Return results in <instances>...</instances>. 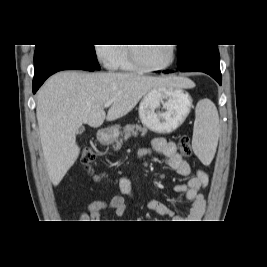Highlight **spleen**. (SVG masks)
I'll return each instance as SVG.
<instances>
[{
	"label": "spleen",
	"mask_w": 267,
	"mask_h": 267,
	"mask_svg": "<svg viewBox=\"0 0 267 267\" xmlns=\"http://www.w3.org/2000/svg\"><path fill=\"white\" fill-rule=\"evenodd\" d=\"M219 136V116L215 106L202 102L198 106L192 146L199 159L209 164L215 154Z\"/></svg>",
	"instance_id": "obj_1"
}]
</instances>
